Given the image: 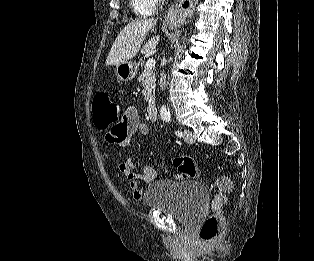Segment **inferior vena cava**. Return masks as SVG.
<instances>
[{
    "label": "inferior vena cava",
    "instance_id": "602c4592",
    "mask_svg": "<svg viewBox=\"0 0 314 261\" xmlns=\"http://www.w3.org/2000/svg\"><path fill=\"white\" fill-rule=\"evenodd\" d=\"M159 85H160V88L162 90L165 89V86H166V75L164 74V71H162V73H160V83H159Z\"/></svg>",
    "mask_w": 314,
    "mask_h": 261
}]
</instances>
